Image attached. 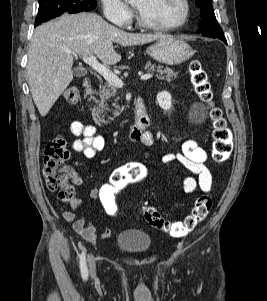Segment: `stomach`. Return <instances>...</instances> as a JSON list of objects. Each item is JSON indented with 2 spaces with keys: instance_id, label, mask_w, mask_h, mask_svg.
Returning a JSON list of instances; mask_svg holds the SVG:
<instances>
[{
  "instance_id": "1",
  "label": "stomach",
  "mask_w": 267,
  "mask_h": 301,
  "mask_svg": "<svg viewBox=\"0 0 267 301\" xmlns=\"http://www.w3.org/2000/svg\"><path fill=\"white\" fill-rule=\"evenodd\" d=\"M146 52L154 60L167 65L181 64L194 55V50L185 40L173 36H164Z\"/></svg>"
}]
</instances>
